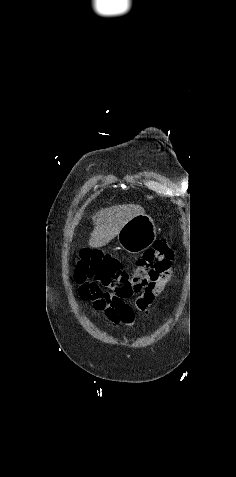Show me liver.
Instances as JSON below:
<instances>
[{
  "label": "liver",
  "mask_w": 236,
  "mask_h": 477,
  "mask_svg": "<svg viewBox=\"0 0 236 477\" xmlns=\"http://www.w3.org/2000/svg\"><path fill=\"white\" fill-rule=\"evenodd\" d=\"M141 214H145L144 208L135 204L102 209L92 218L94 230L89 239V245L94 248L105 246L119 234L131 218Z\"/></svg>",
  "instance_id": "6515ba94"
}]
</instances>
